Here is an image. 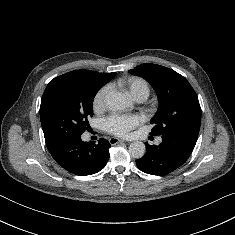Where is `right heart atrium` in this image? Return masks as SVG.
<instances>
[{"label":"right heart atrium","mask_w":235,"mask_h":235,"mask_svg":"<svg viewBox=\"0 0 235 235\" xmlns=\"http://www.w3.org/2000/svg\"><path fill=\"white\" fill-rule=\"evenodd\" d=\"M110 86L105 85L101 87L94 96L93 99V108L96 111L102 110L105 106L106 99L110 93Z\"/></svg>","instance_id":"obj_1"}]
</instances>
